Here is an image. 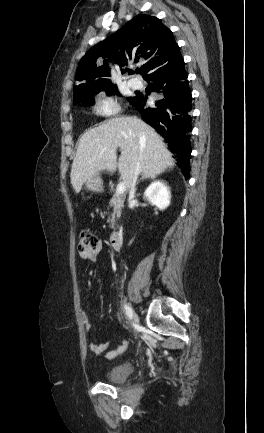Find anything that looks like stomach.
Here are the masks:
<instances>
[{"instance_id":"0dacf381","label":"stomach","mask_w":264,"mask_h":433,"mask_svg":"<svg viewBox=\"0 0 264 433\" xmlns=\"http://www.w3.org/2000/svg\"><path fill=\"white\" fill-rule=\"evenodd\" d=\"M85 188L93 193H101L103 191V182L99 176L88 178L85 182Z\"/></svg>"}]
</instances>
